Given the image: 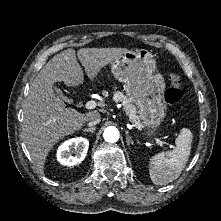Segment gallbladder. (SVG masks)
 Returning a JSON list of instances; mask_svg holds the SVG:
<instances>
[{
  "label": "gallbladder",
  "instance_id": "gallbladder-1",
  "mask_svg": "<svg viewBox=\"0 0 221 221\" xmlns=\"http://www.w3.org/2000/svg\"><path fill=\"white\" fill-rule=\"evenodd\" d=\"M53 89H54L55 93H56L59 97H61L64 101H66V102H68V103L71 102V100H70L68 97H66V96L63 94V92H62L59 88H57L56 86H53Z\"/></svg>",
  "mask_w": 221,
  "mask_h": 221
}]
</instances>
